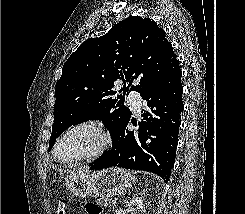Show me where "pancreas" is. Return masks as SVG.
I'll list each match as a JSON object with an SVG mask.
<instances>
[{"label": "pancreas", "mask_w": 245, "mask_h": 214, "mask_svg": "<svg viewBox=\"0 0 245 214\" xmlns=\"http://www.w3.org/2000/svg\"><path fill=\"white\" fill-rule=\"evenodd\" d=\"M97 203L102 205V206L110 207L111 206V199L109 197H106V196H101L99 199H97Z\"/></svg>", "instance_id": "obj_1"}]
</instances>
